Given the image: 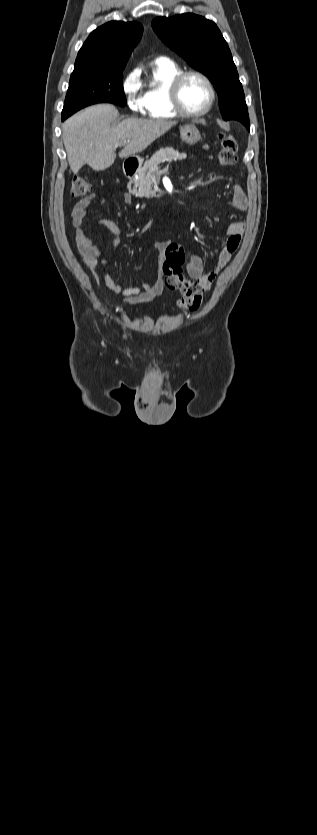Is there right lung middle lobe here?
I'll return each instance as SVG.
<instances>
[{
	"label": "right lung middle lobe",
	"instance_id": "1",
	"mask_svg": "<svg viewBox=\"0 0 317 835\" xmlns=\"http://www.w3.org/2000/svg\"><path fill=\"white\" fill-rule=\"evenodd\" d=\"M123 70L79 69L74 70L65 98L62 117L95 103H114L126 106L123 90Z\"/></svg>",
	"mask_w": 317,
	"mask_h": 835
}]
</instances>
